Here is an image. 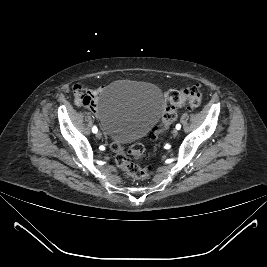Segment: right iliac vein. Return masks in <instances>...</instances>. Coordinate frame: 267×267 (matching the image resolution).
I'll return each instance as SVG.
<instances>
[{
  "label": "right iliac vein",
  "instance_id": "right-iliac-vein-1",
  "mask_svg": "<svg viewBox=\"0 0 267 267\" xmlns=\"http://www.w3.org/2000/svg\"><path fill=\"white\" fill-rule=\"evenodd\" d=\"M96 137L100 139L102 137V133L100 131L96 132Z\"/></svg>",
  "mask_w": 267,
  "mask_h": 267
}]
</instances>
